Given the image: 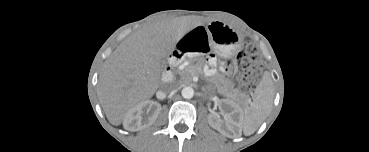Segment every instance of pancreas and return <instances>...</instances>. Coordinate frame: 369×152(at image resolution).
<instances>
[{
  "label": "pancreas",
  "instance_id": "obj_1",
  "mask_svg": "<svg viewBox=\"0 0 369 152\" xmlns=\"http://www.w3.org/2000/svg\"><path fill=\"white\" fill-rule=\"evenodd\" d=\"M189 71L192 74H200L202 72L201 67L197 66L196 68H190ZM218 93L221 95L227 97L228 99H231V101H239L240 98H247L248 97L244 94L238 93V92H228L226 89L222 87H218Z\"/></svg>",
  "mask_w": 369,
  "mask_h": 152
}]
</instances>
